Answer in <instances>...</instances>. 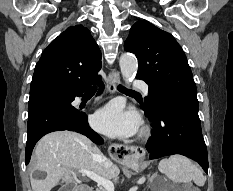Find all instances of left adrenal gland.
Segmentation results:
<instances>
[{"label":"left adrenal gland","mask_w":233,"mask_h":191,"mask_svg":"<svg viewBox=\"0 0 233 191\" xmlns=\"http://www.w3.org/2000/svg\"><path fill=\"white\" fill-rule=\"evenodd\" d=\"M154 178V175L152 176V178L150 180H152Z\"/></svg>","instance_id":"left-adrenal-gland-1"}]
</instances>
